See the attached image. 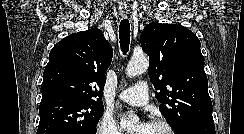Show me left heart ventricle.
Wrapping results in <instances>:
<instances>
[{
    "label": "left heart ventricle",
    "instance_id": "obj_1",
    "mask_svg": "<svg viewBox=\"0 0 244 134\" xmlns=\"http://www.w3.org/2000/svg\"><path fill=\"white\" fill-rule=\"evenodd\" d=\"M140 127H137L134 134H138ZM144 134H168L167 131L160 126L149 124Z\"/></svg>",
    "mask_w": 244,
    "mask_h": 134
}]
</instances>
